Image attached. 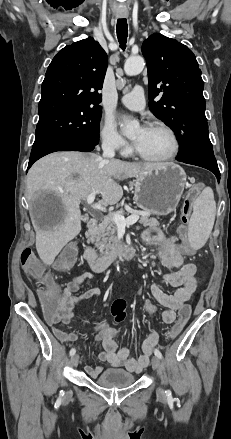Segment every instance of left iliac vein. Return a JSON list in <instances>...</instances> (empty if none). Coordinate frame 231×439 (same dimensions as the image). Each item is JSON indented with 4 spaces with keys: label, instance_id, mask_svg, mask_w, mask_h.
<instances>
[{
    "label": "left iliac vein",
    "instance_id": "obj_1",
    "mask_svg": "<svg viewBox=\"0 0 231 439\" xmlns=\"http://www.w3.org/2000/svg\"><path fill=\"white\" fill-rule=\"evenodd\" d=\"M151 364H152V368L154 369V371H156V372L160 371V369H161V361H160L159 357L153 356ZM156 392H157V396L160 399H164L165 398V393H164V390H163L162 387H158Z\"/></svg>",
    "mask_w": 231,
    "mask_h": 439
}]
</instances>
